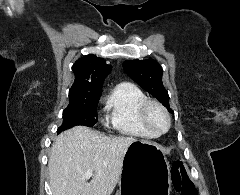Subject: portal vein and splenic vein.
I'll list each match as a JSON object with an SVG mask.
<instances>
[{
    "mask_svg": "<svg viewBox=\"0 0 240 195\" xmlns=\"http://www.w3.org/2000/svg\"><path fill=\"white\" fill-rule=\"evenodd\" d=\"M92 175H93L92 169H89V171H85V173H83V177H88V179L89 177H92Z\"/></svg>",
    "mask_w": 240,
    "mask_h": 195,
    "instance_id": "18ae733b",
    "label": "portal vein and splenic vein"
}]
</instances>
